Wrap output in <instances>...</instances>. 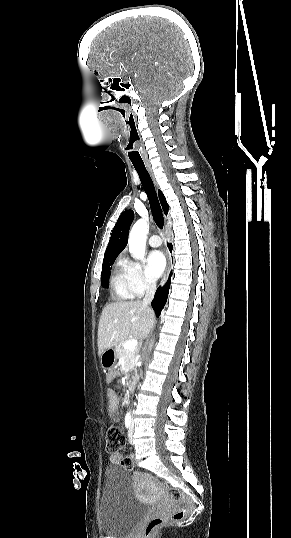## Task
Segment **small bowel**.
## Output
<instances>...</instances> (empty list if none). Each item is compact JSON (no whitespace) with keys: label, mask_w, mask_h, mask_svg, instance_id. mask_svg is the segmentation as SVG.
Wrapping results in <instances>:
<instances>
[{"label":"small bowel","mask_w":291,"mask_h":538,"mask_svg":"<svg viewBox=\"0 0 291 538\" xmlns=\"http://www.w3.org/2000/svg\"><path fill=\"white\" fill-rule=\"evenodd\" d=\"M114 379H115V375L110 374L106 378V381L108 383H111ZM107 397H108V411H109V413H110V415H111V417L113 419H117L118 418L117 411H118L119 400H118V397H117L115 391L112 388H108ZM121 460H122V457L119 456V455H111L110 456V462L112 464H119Z\"/></svg>","instance_id":"small-bowel-1"}]
</instances>
